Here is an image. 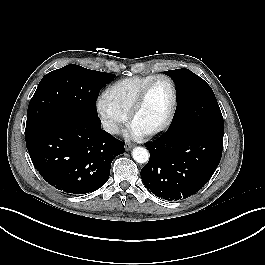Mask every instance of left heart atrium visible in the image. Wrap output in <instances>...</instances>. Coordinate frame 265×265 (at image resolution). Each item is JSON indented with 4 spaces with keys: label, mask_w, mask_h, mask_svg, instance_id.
Masks as SVG:
<instances>
[{
    "label": "left heart atrium",
    "mask_w": 265,
    "mask_h": 265,
    "mask_svg": "<svg viewBox=\"0 0 265 265\" xmlns=\"http://www.w3.org/2000/svg\"><path fill=\"white\" fill-rule=\"evenodd\" d=\"M130 132H131V135L135 136V137H139L142 135V133L139 130H137L136 128H134L133 126L131 127Z\"/></svg>",
    "instance_id": "obj_1"
}]
</instances>
